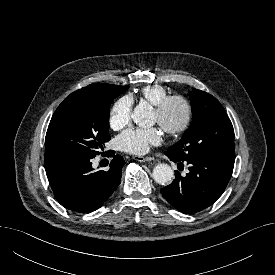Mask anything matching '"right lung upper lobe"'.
<instances>
[{
  "label": "right lung upper lobe",
  "instance_id": "cb5924a9",
  "mask_svg": "<svg viewBox=\"0 0 275 275\" xmlns=\"http://www.w3.org/2000/svg\"><path fill=\"white\" fill-rule=\"evenodd\" d=\"M118 86L112 85V84H102V83H94L90 84L87 87L81 88L72 94H70L65 101L75 99L77 97L83 96L85 94H90V93H100L104 91L111 90L113 88H116Z\"/></svg>",
  "mask_w": 275,
  "mask_h": 275
}]
</instances>
